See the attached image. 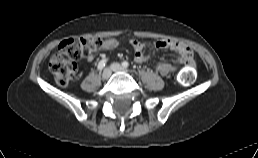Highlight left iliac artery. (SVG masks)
I'll list each match as a JSON object with an SVG mask.
<instances>
[{
	"instance_id": "left-iliac-artery-1",
	"label": "left iliac artery",
	"mask_w": 258,
	"mask_h": 158,
	"mask_svg": "<svg viewBox=\"0 0 258 158\" xmlns=\"http://www.w3.org/2000/svg\"><path fill=\"white\" fill-rule=\"evenodd\" d=\"M122 66L125 67V68H127V67L129 66V63H128L127 61H124V62L122 63Z\"/></svg>"
}]
</instances>
